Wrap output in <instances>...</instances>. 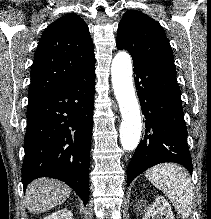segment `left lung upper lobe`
<instances>
[{
  "mask_svg": "<svg viewBox=\"0 0 211 219\" xmlns=\"http://www.w3.org/2000/svg\"><path fill=\"white\" fill-rule=\"evenodd\" d=\"M117 48L128 50L133 59L174 65L171 46L160 24L136 10L124 13L118 26Z\"/></svg>",
  "mask_w": 211,
  "mask_h": 219,
  "instance_id": "left-lung-upper-lobe-1",
  "label": "left lung upper lobe"
}]
</instances>
